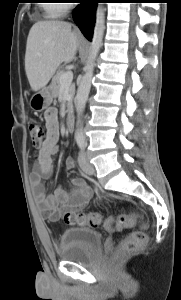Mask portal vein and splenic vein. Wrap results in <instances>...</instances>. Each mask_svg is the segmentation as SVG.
<instances>
[{"label":"portal vein and splenic vein","instance_id":"portal-vein-and-splenic-vein-1","mask_svg":"<svg viewBox=\"0 0 181 300\" xmlns=\"http://www.w3.org/2000/svg\"><path fill=\"white\" fill-rule=\"evenodd\" d=\"M73 73L72 71L64 72L60 77V83L62 86H68L72 83Z\"/></svg>","mask_w":181,"mask_h":300}]
</instances>
